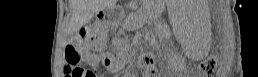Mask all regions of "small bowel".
Returning <instances> with one entry per match:
<instances>
[{
  "mask_svg": "<svg viewBox=\"0 0 258 77\" xmlns=\"http://www.w3.org/2000/svg\"><path fill=\"white\" fill-rule=\"evenodd\" d=\"M81 50L84 61L87 64L91 66L101 65L109 71L115 70V59L110 53L94 54L91 53L84 45H82ZM87 75L88 77H93V73L88 72Z\"/></svg>",
  "mask_w": 258,
  "mask_h": 77,
  "instance_id": "obj_1",
  "label": "small bowel"
}]
</instances>
